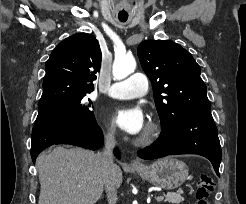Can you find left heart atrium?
Returning <instances> with one entry per match:
<instances>
[{
	"label": "left heart atrium",
	"instance_id": "obj_1",
	"mask_svg": "<svg viewBox=\"0 0 246 204\" xmlns=\"http://www.w3.org/2000/svg\"><path fill=\"white\" fill-rule=\"evenodd\" d=\"M114 121L120 129L131 135H137L145 128V116L138 106L117 108L114 113Z\"/></svg>",
	"mask_w": 246,
	"mask_h": 204
}]
</instances>
